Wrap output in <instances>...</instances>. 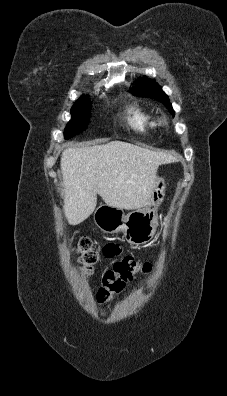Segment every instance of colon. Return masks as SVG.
<instances>
[{
  "mask_svg": "<svg viewBox=\"0 0 227 396\" xmlns=\"http://www.w3.org/2000/svg\"><path fill=\"white\" fill-rule=\"evenodd\" d=\"M76 250L82 272L91 275L98 259L92 241L87 237H81L77 241ZM149 271L148 262H141L132 256H125L116 261L103 275L102 285L97 291L98 303L110 302L116 293L122 291L127 282L132 281L136 275L147 274Z\"/></svg>",
  "mask_w": 227,
  "mask_h": 396,
  "instance_id": "obj_1",
  "label": "colon"
}]
</instances>
